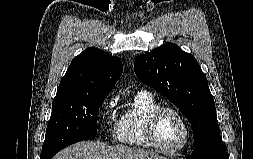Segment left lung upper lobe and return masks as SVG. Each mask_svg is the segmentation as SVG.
I'll return each instance as SVG.
<instances>
[{"instance_id": "obj_1", "label": "left lung upper lobe", "mask_w": 253, "mask_h": 159, "mask_svg": "<svg viewBox=\"0 0 253 159\" xmlns=\"http://www.w3.org/2000/svg\"><path fill=\"white\" fill-rule=\"evenodd\" d=\"M134 70L144 84L164 95L189 120L195 159H211L224 146L207 78L191 54L168 43L139 56Z\"/></svg>"}]
</instances>
